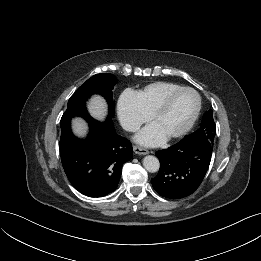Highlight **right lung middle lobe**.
Listing matches in <instances>:
<instances>
[{
  "mask_svg": "<svg viewBox=\"0 0 261 261\" xmlns=\"http://www.w3.org/2000/svg\"><path fill=\"white\" fill-rule=\"evenodd\" d=\"M116 83L117 79L112 74L104 73L92 76L70 97L67 110L61 118L60 125L70 124V120L74 116H81L86 120L90 119L91 117L86 108V101L93 94H100L107 100L109 117L114 116L115 103L113 101L112 90Z\"/></svg>",
  "mask_w": 261,
  "mask_h": 261,
  "instance_id": "1",
  "label": "right lung middle lobe"
}]
</instances>
